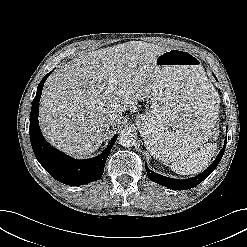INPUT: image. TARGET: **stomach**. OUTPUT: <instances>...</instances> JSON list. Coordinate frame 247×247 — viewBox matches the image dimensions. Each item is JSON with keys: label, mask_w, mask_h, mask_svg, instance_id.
<instances>
[{"label": "stomach", "mask_w": 247, "mask_h": 247, "mask_svg": "<svg viewBox=\"0 0 247 247\" xmlns=\"http://www.w3.org/2000/svg\"><path fill=\"white\" fill-rule=\"evenodd\" d=\"M151 109L136 124L150 154L164 163L186 158L211 135L218 96L191 52L169 49L155 61Z\"/></svg>", "instance_id": "obj_1"}]
</instances>
